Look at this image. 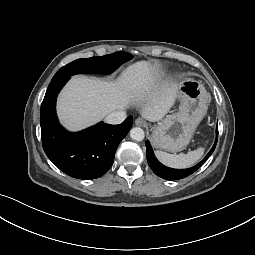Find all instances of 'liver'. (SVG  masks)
<instances>
[{
	"mask_svg": "<svg viewBox=\"0 0 255 255\" xmlns=\"http://www.w3.org/2000/svg\"><path fill=\"white\" fill-rule=\"evenodd\" d=\"M159 75L146 61L129 66L114 81L76 76L66 85L58 99V114L68 129L80 130L114 111L147 100L142 117L157 122L174 105L179 85L165 84L157 89Z\"/></svg>",
	"mask_w": 255,
	"mask_h": 255,
	"instance_id": "1",
	"label": "liver"
}]
</instances>
